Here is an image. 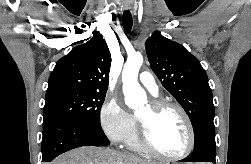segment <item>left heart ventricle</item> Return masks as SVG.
Listing matches in <instances>:
<instances>
[{
  "mask_svg": "<svg viewBox=\"0 0 251 164\" xmlns=\"http://www.w3.org/2000/svg\"><path fill=\"white\" fill-rule=\"evenodd\" d=\"M138 118L149 126L154 145L164 154L176 156L188 146V130L181 115L166 109L155 113L151 106L144 108Z\"/></svg>",
  "mask_w": 251,
  "mask_h": 164,
  "instance_id": "1",
  "label": "left heart ventricle"
}]
</instances>
